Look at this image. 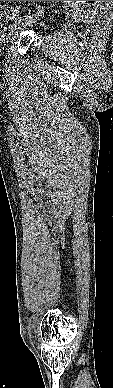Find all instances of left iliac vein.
I'll return each mask as SVG.
<instances>
[{
    "instance_id": "4c4485c4",
    "label": "left iliac vein",
    "mask_w": 113,
    "mask_h": 388,
    "mask_svg": "<svg viewBox=\"0 0 113 388\" xmlns=\"http://www.w3.org/2000/svg\"><path fill=\"white\" fill-rule=\"evenodd\" d=\"M43 16V13L41 11H38V14L33 19H26L24 23H14L11 26V30L9 33V36L7 38L8 43H12L17 38L18 34L26 27L32 26L33 23H35L39 18Z\"/></svg>"
}]
</instances>
